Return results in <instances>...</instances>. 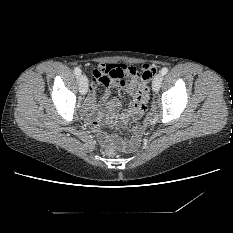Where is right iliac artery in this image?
I'll list each match as a JSON object with an SVG mask.
<instances>
[{"label": "right iliac artery", "instance_id": "82829eb1", "mask_svg": "<svg viewBox=\"0 0 233 233\" xmlns=\"http://www.w3.org/2000/svg\"><path fill=\"white\" fill-rule=\"evenodd\" d=\"M74 73H75V75L78 77V76L81 74V69L78 68V67H75V68H74Z\"/></svg>", "mask_w": 233, "mask_h": 233}]
</instances>
